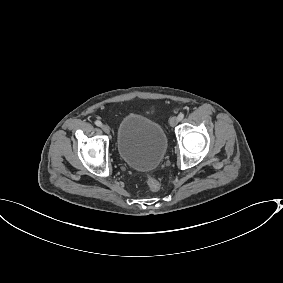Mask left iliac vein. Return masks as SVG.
<instances>
[{
	"label": "left iliac vein",
	"instance_id": "left-iliac-vein-1",
	"mask_svg": "<svg viewBox=\"0 0 283 283\" xmlns=\"http://www.w3.org/2000/svg\"><path fill=\"white\" fill-rule=\"evenodd\" d=\"M179 120H178V117L176 116H173L172 118H170L169 120V124L171 127H174L178 124Z\"/></svg>",
	"mask_w": 283,
	"mask_h": 283
}]
</instances>
